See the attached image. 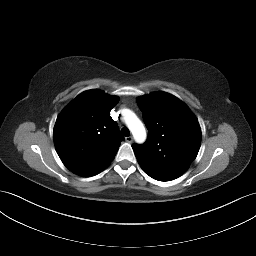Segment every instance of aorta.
Returning <instances> with one entry per match:
<instances>
[{
    "label": "aorta",
    "mask_w": 256,
    "mask_h": 256,
    "mask_svg": "<svg viewBox=\"0 0 256 256\" xmlns=\"http://www.w3.org/2000/svg\"><path fill=\"white\" fill-rule=\"evenodd\" d=\"M124 121L132 132L133 137L137 143H143L146 139V130L140 119L128 109L122 111Z\"/></svg>",
    "instance_id": "1"
}]
</instances>
